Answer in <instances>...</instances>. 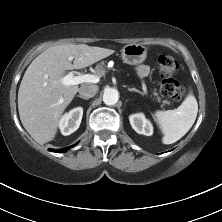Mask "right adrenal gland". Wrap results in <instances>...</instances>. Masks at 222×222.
<instances>
[{
    "instance_id": "obj_1",
    "label": "right adrenal gland",
    "mask_w": 222,
    "mask_h": 222,
    "mask_svg": "<svg viewBox=\"0 0 222 222\" xmlns=\"http://www.w3.org/2000/svg\"><path fill=\"white\" fill-rule=\"evenodd\" d=\"M77 97L82 98V99H84V100H88V99H89V98L83 97V96H81V95H77Z\"/></svg>"
}]
</instances>
